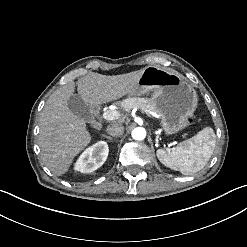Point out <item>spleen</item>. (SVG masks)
<instances>
[{"instance_id": "3e777b00", "label": "spleen", "mask_w": 247, "mask_h": 247, "mask_svg": "<svg viewBox=\"0 0 247 247\" xmlns=\"http://www.w3.org/2000/svg\"><path fill=\"white\" fill-rule=\"evenodd\" d=\"M216 143V135L211 127H206L197 135L179 143L174 150H157L158 159L167 167L190 175L202 170L209 161Z\"/></svg>"}]
</instances>
